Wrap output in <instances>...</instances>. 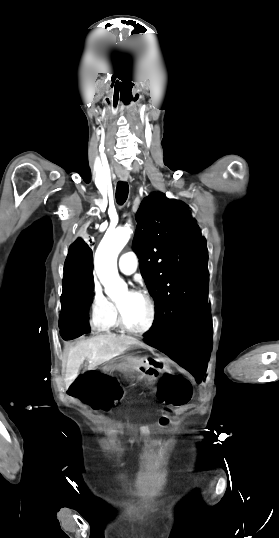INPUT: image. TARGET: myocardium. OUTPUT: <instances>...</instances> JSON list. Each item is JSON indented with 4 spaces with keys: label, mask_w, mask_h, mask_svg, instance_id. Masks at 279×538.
<instances>
[{
    "label": "myocardium",
    "mask_w": 279,
    "mask_h": 538,
    "mask_svg": "<svg viewBox=\"0 0 279 538\" xmlns=\"http://www.w3.org/2000/svg\"><path fill=\"white\" fill-rule=\"evenodd\" d=\"M103 225H104V223L100 224V225H97V227L103 226ZM128 291L131 292L132 294H135V295H138V296L142 297L146 301V303L148 305V308H149L148 321L145 324V326L142 327L141 329H134V328L130 327L128 325L127 321H126V318H125L123 305L119 300H117V314H118L119 326L124 331H126L127 333H129L131 335L143 336V335L147 334L148 332H150L151 329L153 328L154 324H155V321H156V306H155V303H154L152 297L150 296V294L147 291H145V290H134V289H129Z\"/></svg>",
    "instance_id": "1"
}]
</instances>
